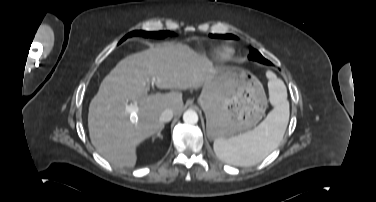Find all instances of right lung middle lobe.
Listing matches in <instances>:
<instances>
[{"instance_id":"right-lung-middle-lobe-1","label":"right lung middle lobe","mask_w":376,"mask_h":202,"mask_svg":"<svg viewBox=\"0 0 376 202\" xmlns=\"http://www.w3.org/2000/svg\"><path fill=\"white\" fill-rule=\"evenodd\" d=\"M171 32L169 31H159V32H146V31H133L129 34H127L121 41L123 42L125 39H127L128 37H131V36H143V37H152V38H164L168 35H170Z\"/></svg>"}]
</instances>
